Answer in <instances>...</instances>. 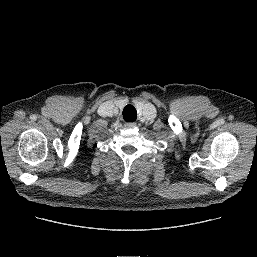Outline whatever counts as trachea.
<instances>
[{"label":"trachea","instance_id":"obj_1","mask_svg":"<svg viewBox=\"0 0 257 257\" xmlns=\"http://www.w3.org/2000/svg\"><path fill=\"white\" fill-rule=\"evenodd\" d=\"M123 119L127 122H134L137 118V111L134 106L127 105L123 109Z\"/></svg>","mask_w":257,"mask_h":257}]
</instances>
